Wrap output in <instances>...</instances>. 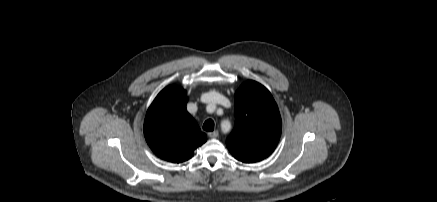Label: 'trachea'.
I'll return each instance as SVG.
<instances>
[{"instance_id":"3493384b","label":"trachea","mask_w":437,"mask_h":202,"mask_svg":"<svg viewBox=\"0 0 437 202\" xmlns=\"http://www.w3.org/2000/svg\"><path fill=\"white\" fill-rule=\"evenodd\" d=\"M203 129L205 131H213L214 130V121L211 119H208L203 124Z\"/></svg>"}]
</instances>
